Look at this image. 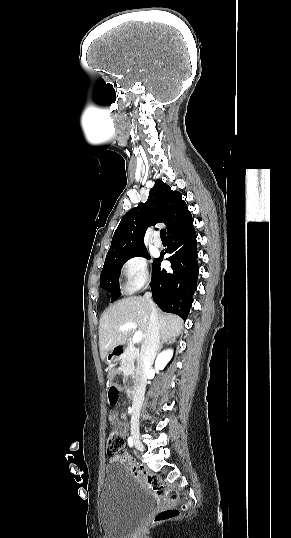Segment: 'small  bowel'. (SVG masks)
<instances>
[{
    "instance_id": "obj_1",
    "label": "small bowel",
    "mask_w": 291,
    "mask_h": 538,
    "mask_svg": "<svg viewBox=\"0 0 291 538\" xmlns=\"http://www.w3.org/2000/svg\"><path fill=\"white\" fill-rule=\"evenodd\" d=\"M119 375L118 370H111L108 375V384L110 387H115L118 392L120 391V388L118 386V383L116 381V377ZM124 414H118L117 412H112L110 415V422L113 425L114 429L123 437L126 432L127 428L125 424L120 420V418H124ZM111 463H126L130 465V457L127 452L121 454V455H115L110 457Z\"/></svg>"
}]
</instances>
